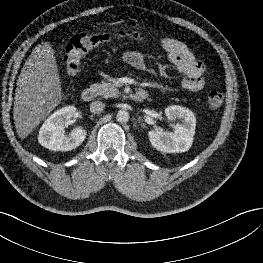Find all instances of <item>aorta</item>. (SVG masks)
I'll return each instance as SVG.
<instances>
[{
  "instance_id": "762f6f07",
  "label": "aorta",
  "mask_w": 263,
  "mask_h": 263,
  "mask_svg": "<svg viewBox=\"0 0 263 263\" xmlns=\"http://www.w3.org/2000/svg\"><path fill=\"white\" fill-rule=\"evenodd\" d=\"M116 119L120 123H125L129 120V113L125 110H119L116 114Z\"/></svg>"
}]
</instances>
